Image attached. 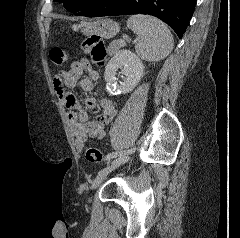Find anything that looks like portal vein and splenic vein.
Segmentation results:
<instances>
[{"mask_svg":"<svg viewBox=\"0 0 240 238\" xmlns=\"http://www.w3.org/2000/svg\"><path fill=\"white\" fill-rule=\"evenodd\" d=\"M120 42H121V44L123 45V46H125L126 45V43H125V40L123 39V40H120Z\"/></svg>","mask_w":240,"mask_h":238,"instance_id":"obj_1","label":"portal vein and splenic vein"}]
</instances>
